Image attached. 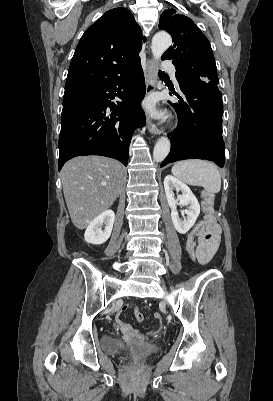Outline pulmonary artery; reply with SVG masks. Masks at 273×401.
Wrapping results in <instances>:
<instances>
[{
	"instance_id": "1",
	"label": "pulmonary artery",
	"mask_w": 273,
	"mask_h": 401,
	"mask_svg": "<svg viewBox=\"0 0 273 401\" xmlns=\"http://www.w3.org/2000/svg\"><path fill=\"white\" fill-rule=\"evenodd\" d=\"M163 64H164V70L166 72H173L175 70V65L172 63V59L170 57H165L163 59ZM172 80L176 82V77L171 76Z\"/></svg>"
}]
</instances>
